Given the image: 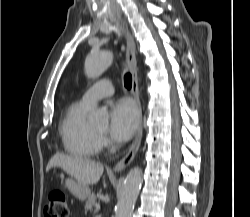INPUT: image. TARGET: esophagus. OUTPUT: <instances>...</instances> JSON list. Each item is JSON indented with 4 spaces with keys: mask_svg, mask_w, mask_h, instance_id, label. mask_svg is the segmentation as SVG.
Instances as JSON below:
<instances>
[{
    "mask_svg": "<svg viewBox=\"0 0 250 217\" xmlns=\"http://www.w3.org/2000/svg\"><path fill=\"white\" fill-rule=\"evenodd\" d=\"M121 28L126 36L127 47H126V59L129 69L132 74V94L136 101L140 122L136 137L129 148L127 154L114 166L115 171L124 170L133 161L137 154L143 135V119H142V108L140 103L139 91H138V76H137V60H136V45L133 34L127 29L124 22H121Z\"/></svg>",
    "mask_w": 250,
    "mask_h": 217,
    "instance_id": "esophagus-1",
    "label": "esophagus"
}]
</instances>
